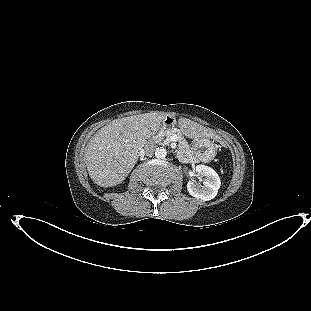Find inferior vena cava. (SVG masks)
I'll use <instances>...</instances> for the list:
<instances>
[{"instance_id":"1","label":"inferior vena cava","mask_w":311,"mask_h":311,"mask_svg":"<svg viewBox=\"0 0 311 311\" xmlns=\"http://www.w3.org/2000/svg\"><path fill=\"white\" fill-rule=\"evenodd\" d=\"M155 150V146L152 143H148L145 145L143 152L147 156H152L153 152Z\"/></svg>"}]
</instances>
